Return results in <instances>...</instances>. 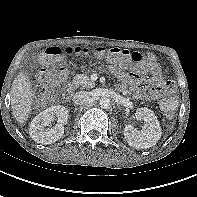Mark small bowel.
Instances as JSON below:
<instances>
[{
  "label": "small bowel",
  "instance_id": "1",
  "mask_svg": "<svg viewBox=\"0 0 197 197\" xmlns=\"http://www.w3.org/2000/svg\"><path fill=\"white\" fill-rule=\"evenodd\" d=\"M127 63L120 61L119 68H115L117 76L122 81L123 88H129L138 99L156 100L174 92V85L162 76L161 66L155 63L150 68V78L145 80L135 71H125Z\"/></svg>",
  "mask_w": 197,
  "mask_h": 197
}]
</instances>
